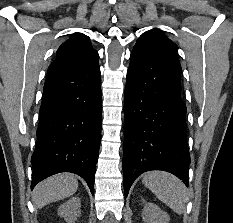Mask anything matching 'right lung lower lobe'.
Wrapping results in <instances>:
<instances>
[{"label": "right lung lower lobe", "instance_id": "1", "mask_svg": "<svg viewBox=\"0 0 233 223\" xmlns=\"http://www.w3.org/2000/svg\"><path fill=\"white\" fill-rule=\"evenodd\" d=\"M100 86L98 63L47 77L31 158V189L53 174L72 172L84 178L94 193L102 126Z\"/></svg>", "mask_w": 233, "mask_h": 223}]
</instances>
